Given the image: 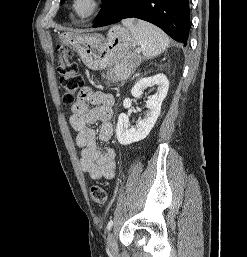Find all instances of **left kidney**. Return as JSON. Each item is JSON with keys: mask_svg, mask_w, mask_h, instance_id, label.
<instances>
[{"mask_svg": "<svg viewBox=\"0 0 247 257\" xmlns=\"http://www.w3.org/2000/svg\"><path fill=\"white\" fill-rule=\"evenodd\" d=\"M151 86H157V92L149 96L146 107L148 111L143 119H139L135 126H131L129 118L125 113H121L118 117L116 128V136L120 144L128 145L133 142H138L147 137L151 129L154 127L161 111V105L165 99L169 81L164 74H158L153 77H145L140 79L131 89L133 97L137 98L143 94V91ZM132 99L126 98L123 101L125 109L130 108Z\"/></svg>", "mask_w": 247, "mask_h": 257, "instance_id": "left-kidney-1", "label": "left kidney"}]
</instances>
